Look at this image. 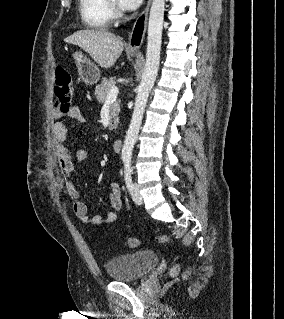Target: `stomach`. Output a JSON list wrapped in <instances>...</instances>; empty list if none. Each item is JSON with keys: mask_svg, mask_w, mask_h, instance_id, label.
<instances>
[{"mask_svg": "<svg viewBox=\"0 0 284 319\" xmlns=\"http://www.w3.org/2000/svg\"><path fill=\"white\" fill-rule=\"evenodd\" d=\"M130 55L135 56L136 54L131 53ZM73 58L77 66L80 79L86 85H93L97 83L100 78V71L98 67L80 51L73 53Z\"/></svg>", "mask_w": 284, "mask_h": 319, "instance_id": "obj_1", "label": "stomach"}]
</instances>
